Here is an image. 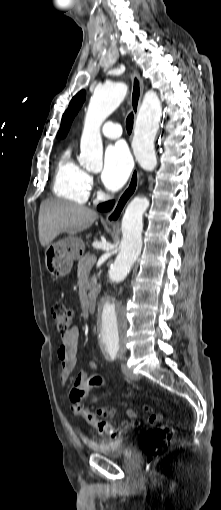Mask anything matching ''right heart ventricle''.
<instances>
[{
	"mask_svg": "<svg viewBox=\"0 0 221 510\" xmlns=\"http://www.w3.org/2000/svg\"><path fill=\"white\" fill-rule=\"evenodd\" d=\"M89 175L73 158L71 148L60 156L54 175L53 193L65 200L84 204L89 196Z\"/></svg>",
	"mask_w": 221,
	"mask_h": 510,
	"instance_id": "e07e8e85",
	"label": "right heart ventricle"
}]
</instances>
